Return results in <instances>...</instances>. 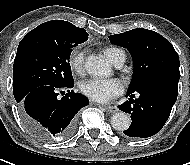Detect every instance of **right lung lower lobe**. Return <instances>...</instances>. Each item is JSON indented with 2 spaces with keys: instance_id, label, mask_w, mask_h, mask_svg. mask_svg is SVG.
I'll return each instance as SVG.
<instances>
[{
  "instance_id": "1",
  "label": "right lung lower lobe",
  "mask_w": 190,
  "mask_h": 165,
  "mask_svg": "<svg viewBox=\"0 0 190 165\" xmlns=\"http://www.w3.org/2000/svg\"><path fill=\"white\" fill-rule=\"evenodd\" d=\"M65 86L44 85L30 91L19 103L20 116L28 130L39 140L54 141L58 137H69L74 130L78 111L89 104L87 97L73 91L61 99L58 90Z\"/></svg>"
}]
</instances>
